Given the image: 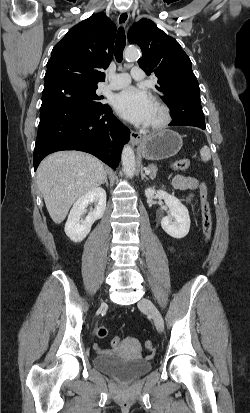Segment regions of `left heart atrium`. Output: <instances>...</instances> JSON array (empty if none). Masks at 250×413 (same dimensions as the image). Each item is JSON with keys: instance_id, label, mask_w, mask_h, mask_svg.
<instances>
[{"instance_id": "obj_1", "label": "left heart atrium", "mask_w": 250, "mask_h": 413, "mask_svg": "<svg viewBox=\"0 0 250 413\" xmlns=\"http://www.w3.org/2000/svg\"><path fill=\"white\" fill-rule=\"evenodd\" d=\"M153 105L151 96L135 87L124 89L113 100L115 110L135 124H148Z\"/></svg>"}]
</instances>
